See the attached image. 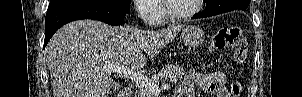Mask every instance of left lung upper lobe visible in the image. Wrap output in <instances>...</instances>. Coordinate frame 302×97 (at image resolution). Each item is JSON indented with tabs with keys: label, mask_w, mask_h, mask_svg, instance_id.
I'll return each mask as SVG.
<instances>
[{
	"label": "left lung upper lobe",
	"mask_w": 302,
	"mask_h": 97,
	"mask_svg": "<svg viewBox=\"0 0 302 97\" xmlns=\"http://www.w3.org/2000/svg\"><path fill=\"white\" fill-rule=\"evenodd\" d=\"M206 8L211 11L224 13L236 9L246 10L249 6V0H204Z\"/></svg>",
	"instance_id": "obj_1"
}]
</instances>
